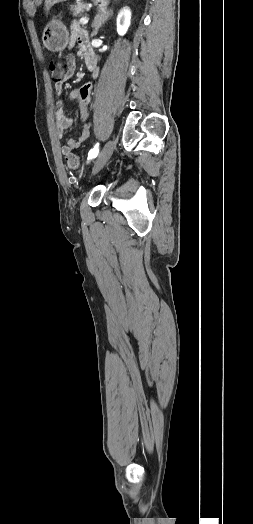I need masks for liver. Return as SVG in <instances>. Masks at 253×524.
Here are the masks:
<instances>
[{"label": "liver", "mask_w": 253, "mask_h": 524, "mask_svg": "<svg viewBox=\"0 0 253 524\" xmlns=\"http://www.w3.org/2000/svg\"><path fill=\"white\" fill-rule=\"evenodd\" d=\"M64 1L66 0H45L46 10L49 11L54 4Z\"/></svg>", "instance_id": "1"}]
</instances>
